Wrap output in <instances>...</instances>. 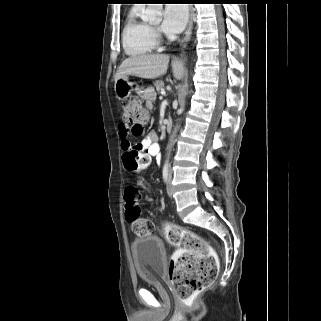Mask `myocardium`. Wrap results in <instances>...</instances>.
I'll list each match as a JSON object with an SVG mask.
<instances>
[{
  "instance_id": "myocardium-1",
  "label": "myocardium",
  "mask_w": 321,
  "mask_h": 321,
  "mask_svg": "<svg viewBox=\"0 0 321 321\" xmlns=\"http://www.w3.org/2000/svg\"><path fill=\"white\" fill-rule=\"evenodd\" d=\"M152 30H153V33H154L156 41L159 42L160 41V35L158 34V32L156 31V29L154 27H152Z\"/></svg>"
}]
</instances>
